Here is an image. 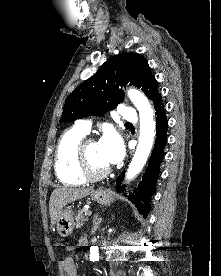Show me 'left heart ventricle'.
<instances>
[{"label":"left heart ventricle","instance_id":"left-heart-ventricle-1","mask_svg":"<svg viewBox=\"0 0 221 276\" xmlns=\"http://www.w3.org/2000/svg\"><path fill=\"white\" fill-rule=\"evenodd\" d=\"M87 156L89 162L94 170L102 171L106 169L109 165L102 159L98 143L92 142L87 146Z\"/></svg>","mask_w":221,"mask_h":276}]
</instances>
